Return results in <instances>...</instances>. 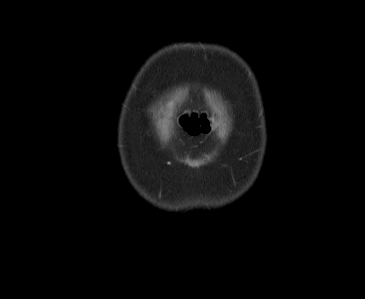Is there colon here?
<instances>
[{"instance_id": "1", "label": "colon", "mask_w": 365, "mask_h": 299, "mask_svg": "<svg viewBox=\"0 0 365 299\" xmlns=\"http://www.w3.org/2000/svg\"><path fill=\"white\" fill-rule=\"evenodd\" d=\"M185 130L190 134L205 133L209 130L210 124L204 118L197 115H186L182 119Z\"/></svg>"}]
</instances>
